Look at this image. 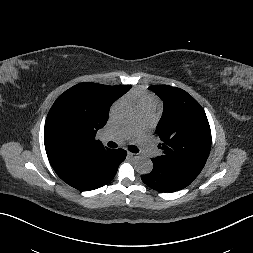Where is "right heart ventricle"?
Returning a JSON list of instances; mask_svg holds the SVG:
<instances>
[{
	"instance_id": "right-heart-ventricle-1",
	"label": "right heart ventricle",
	"mask_w": 253,
	"mask_h": 253,
	"mask_svg": "<svg viewBox=\"0 0 253 253\" xmlns=\"http://www.w3.org/2000/svg\"><path fill=\"white\" fill-rule=\"evenodd\" d=\"M135 104L137 109L150 108L155 110L157 107V101L147 94H137L135 96Z\"/></svg>"
}]
</instances>
